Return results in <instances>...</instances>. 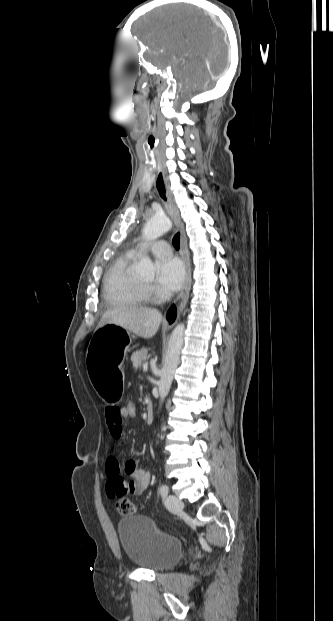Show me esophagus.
Listing matches in <instances>:
<instances>
[{"label": "esophagus", "instance_id": "esophagus-1", "mask_svg": "<svg viewBox=\"0 0 333 621\" xmlns=\"http://www.w3.org/2000/svg\"><path fill=\"white\" fill-rule=\"evenodd\" d=\"M155 188L163 204L165 205V208L168 214L170 215L178 231L180 232L181 255L185 263V267H186V277H185L184 288L182 292L180 293L178 300L174 302L168 308L165 319L163 321V324L165 326H173L177 322L181 312L183 311L188 301L189 292L191 288V266H190L189 253L187 249V239H186V235L184 232L183 224L180 219L179 211L173 204L170 191H169V187L166 184L164 175L160 170H158L156 173Z\"/></svg>", "mask_w": 333, "mask_h": 621}]
</instances>
